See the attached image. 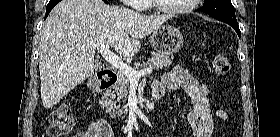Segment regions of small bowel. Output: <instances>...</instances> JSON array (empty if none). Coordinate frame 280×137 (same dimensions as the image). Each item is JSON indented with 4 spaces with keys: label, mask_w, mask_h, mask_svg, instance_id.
I'll return each mask as SVG.
<instances>
[{
    "label": "small bowel",
    "mask_w": 280,
    "mask_h": 137,
    "mask_svg": "<svg viewBox=\"0 0 280 137\" xmlns=\"http://www.w3.org/2000/svg\"><path fill=\"white\" fill-rule=\"evenodd\" d=\"M154 88L161 90L162 95L166 90L182 91L187 95L193 106L186 116L192 130V137H210L214 129L213 118L218 117L221 120H226L228 117L226 111L213 106L211 103L208 96V86L191 76L181 66H175L171 71L164 74L162 79L154 84ZM98 124L108 128L113 136L107 122L99 121ZM77 137L103 136H101V133L94 134L92 130H89L78 134Z\"/></svg>",
    "instance_id": "1"
}]
</instances>
